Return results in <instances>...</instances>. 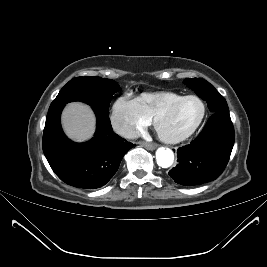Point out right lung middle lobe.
I'll use <instances>...</instances> for the list:
<instances>
[{
  "instance_id": "dd1d6c3e",
  "label": "right lung middle lobe",
  "mask_w": 267,
  "mask_h": 267,
  "mask_svg": "<svg viewBox=\"0 0 267 267\" xmlns=\"http://www.w3.org/2000/svg\"><path fill=\"white\" fill-rule=\"evenodd\" d=\"M120 86L111 79L100 77H76L69 81L50 105L49 111L64 106L68 102L82 101L93 108L108 112L114 93Z\"/></svg>"
}]
</instances>
